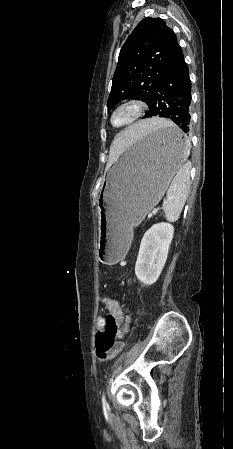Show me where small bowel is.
Wrapping results in <instances>:
<instances>
[{
  "label": "small bowel",
  "instance_id": "1",
  "mask_svg": "<svg viewBox=\"0 0 233 449\" xmlns=\"http://www.w3.org/2000/svg\"><path fill=\"white\" fill-rule=\"evenodd\" d=\"M97 329L99 332H102L106 329L105 319L102 316L97 317ZM119 349L120 348L115 349V350H113L107 354H104V355L97 354V356L101 361H105V360L113 358L118 353Z\"/></svg>",
  "mask_w": 233,
  "mask_h": 449
}]
</instances>
